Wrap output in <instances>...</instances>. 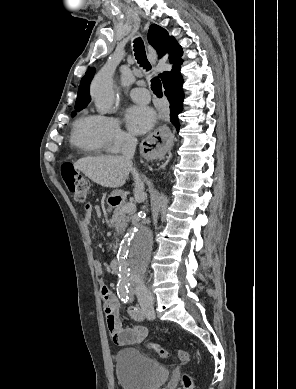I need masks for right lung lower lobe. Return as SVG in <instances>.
Masks as SVG:
<instances>
[{"label":"right lung lower lobe","instance_id":"98d812e1","mask_svg":"<svg viewBox=\"0 0 296 389\" xmlns=\"http://www.w3.org/2000/svg\"><path fill=\"white\" fill-rule=\"evenodd\" d=\"M182 84L183 78L181 75L171 77L163 84L165 88V95L167 96L170 103L171 123L175 126L177 131L180 129L178 114L182 110L184 99Z\"/></svg>","mask_w":296,"mask_h":389}]
</instances>
